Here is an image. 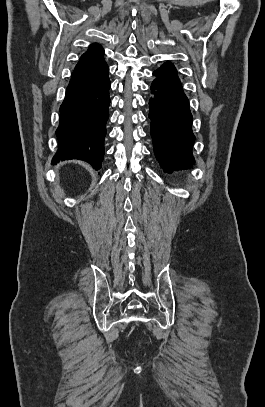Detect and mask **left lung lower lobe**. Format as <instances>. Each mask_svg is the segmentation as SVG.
<instances>
[{"label": "left lung lower lobe", "mask_w": 265, "mask_h": 407, "mask_svg": "<svg viewBox=\"0 0 265 407\" xmlns=\"http://www.w3.org/2000/svg\"><path fill=\"white\" fill-rule=\"evenodd\" d=\"M151 84L157 89L150 100V134L154 153L164 171L189 168L194 164L192 146V115L188 98L183 92L176 68L165 63L153 72Z\"/></svg>", "instance_id": "0a47b994"}]
</instances>
